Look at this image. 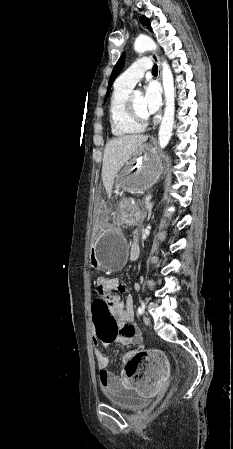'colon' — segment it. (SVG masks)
Wrapping results in <instances>:
<instances>
[{"mask_svg":"<svg viewBox=\"0 0 233 449\" xmlns=\"http://www.w3.org/2000/svg\"><path fill=\"white\" fill-rule=\"evenodd\" d=\"M107 301H91L90 321L92 323V333L97 334L98 343H116L118 338V329L116 320L112 319L110 310H107ZM125 367L124 376L141 375L142 369L146 367L148 356L146 351L139 350L134 354L124 357Z\"/></svg>","mask_w":233,"mask_h":449,"instance_id":"colon-1","label":"colon"}]
</instances>
